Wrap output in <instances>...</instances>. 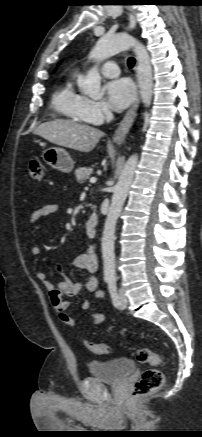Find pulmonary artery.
<instances>
[{
	"mask_svg": "<svg viewBox=\"0 0 202 437\" xmlns=\"http://www.w3.org/2000/svg\"><path fill=\"white\" fill-rule=\"evenodd\" d=\"M101 73L106 77L113 78L120 74V70L116 63L108 61L101 66Z\"/></svg>",
	"mask_w": 202,
	"mask_h": 437,
	"instance_id": "e3ab8cb5",
	"label": "pulmonary artery"
}]
</instances>
